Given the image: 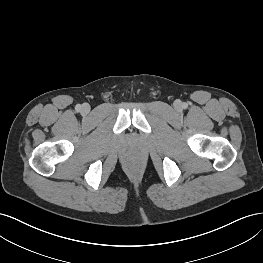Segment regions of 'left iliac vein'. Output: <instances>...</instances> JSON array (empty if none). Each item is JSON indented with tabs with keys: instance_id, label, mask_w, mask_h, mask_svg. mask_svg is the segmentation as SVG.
Returning <instances> with one entry per match:
<instances>
[{
	"instance_id": "1",
	"label": "left iliac vein",
	"mask_w": 263,
	"mask_h": 263,
	"mask_svg": "<svg viewBox=\"0 0 263 263\" xmlns=\"http://www.w3.org/2000/svg\"><path fill=\"white\" fill-rule=\"evenodd\" d=\"M175 106H176L177 108H180L181 103H180V102H176V103H175Z\"/></svg>"
}]
</instances>
